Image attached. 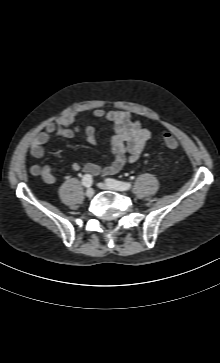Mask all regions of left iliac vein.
Returning <instances> with one entry per match:
<instances>
[{
    "mask_svg": "<svg viewBox=\"0 0 220 363\" xmlns=\"http://www.w3.org/2000/svg\"><path fill=\"white\" fill-rule=\"evenodd\" d=\"M98 187L103 190H113V191H121L120 189L113 187L107 183H98Z\"/></svg>",
    "mask_w": 220,
    "mask_h": 363,
    "instance_id": "1",
    "label": "left iliac vein"
}]
</instances>
